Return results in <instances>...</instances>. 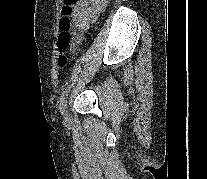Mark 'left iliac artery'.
I'll use <instances>...</instances> for the list:
<instances>
[{
	"label": "left iliac artery",
	"instance_id": "44dca946",
	"mask_svg": "<svg viewBox=\"0 0 207 179\" xmlns=\"http://www.w3.org/2000/svg\"><path fill=\"white\" fill-rule=\"evenodd\" d=\"M69 90H70V86L65 88V90L63 91L62 96L60 98L59 109H60L61 113L63 112V110L65 109V106L67 104V95H68Z\"/></svg>",
	"mask_w": 207,
	"mask_h": 179
}]
</instances>
